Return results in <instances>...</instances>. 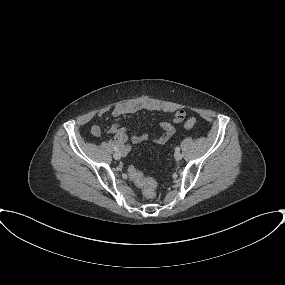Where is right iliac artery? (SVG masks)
<instances>
[{"label": "right iliac artery", "mask_w": 285, "mask_h": 285, "mask_svg": "<svg viewBox=\"0 0 285 285\" xmlns=\"http://www.w3.org/2000/svg\"><path fill=\"white\" fill-rule=\"evenodd\" d=\"M114 151H118L119 150V148L117 147V146H114Z\"/></svg>", "instance_id": "1"}]
</instances>
